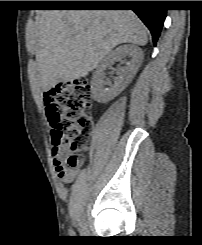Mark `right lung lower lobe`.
I'll return each instance as SVG.
<instances>
[{
	"label": "right lung lower lobe",
	"instance_id": "1",
	"mask_svg": "<svg viewBox=\"0 0 202 245\" xmlns=\"http://www.w3.org/2000/svg\"><path fill=\"white\" fill-rule=\"evenodd\" d=\"M80 6L86 7H120V6H131L133 11L148 27L152 34L154 45L159 38L161 29L166 18V10L158 6L155 1H133L126 5V3H110L106 1H89L80 4Z\"/></svg>",
	"mask_w": 202,
	"mask_h": 245
}]
</instances>
